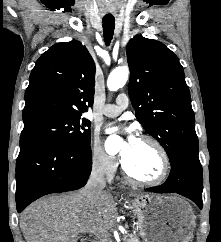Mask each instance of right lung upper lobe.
<instances>
[{"mask_svg": "<svg viewBox=\"0 0 221 242\" xmlns=\"http://www.w3.org/2000/svg\"><path fill=\"white\" fill-rule=\"evenodd\" d=\"M95 63L79 41L57 43L37 60L23 109L24 125L81 115L92 106Z\"/></svg>", "mask_w": 221, "mask_h": 242, "instance_id": "cb5924a9", "label": "right lung upper lobe"}]
</instances>
